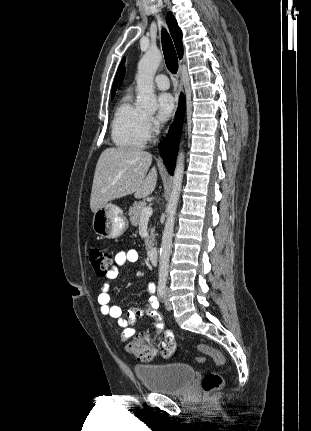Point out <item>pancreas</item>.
I'll use <instances>...</instances> for the list:
<instances>
[{
    "instance_id": "cf45deb5",
    "label": "pancreas",
    "mask_w": 311,
    "mask_h": 431,
    "mask_svg": "<svg viewBox=\"0 0 311 431\" xmlns=\"http://www.w3.org/2000/svg\"><path fill=\"white\" fill-rule=\"evenodd\" d=\"M143 208H147L146 202H134L132 204L131 208H129L128 216L132 225H139L140 217L142 216V210ZM150 229V235L148 237H145V249H151L154 245V237H155V229L154 227H149Z\"/></svg>"
}]
</instances>
